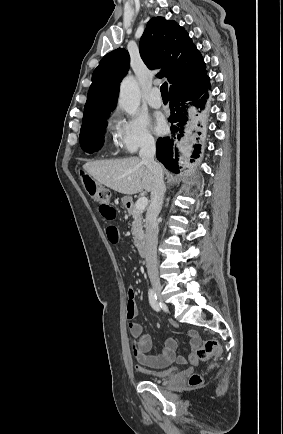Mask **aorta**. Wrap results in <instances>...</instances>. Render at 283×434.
Listing matches in <instances>:
<instances>
[{
  "label": "aorta",
  "instance_id": "aorta-1",
  "mask_svg": "<svg viewBox=\"0 0 283 434\" xmlns=\"http://www.w3.org/2000/svg\"><path fill=\"white\" fill-rule=\"evenodd\" d=\"M119 106L128 114L134 115L140 106V91L134 77L127 76L120 85Z\"/></svg>",
  "mask_w": 283,
  "mask_h": 434
}]
</instances>
